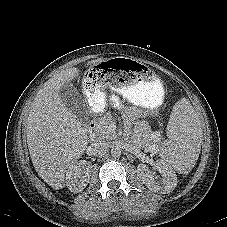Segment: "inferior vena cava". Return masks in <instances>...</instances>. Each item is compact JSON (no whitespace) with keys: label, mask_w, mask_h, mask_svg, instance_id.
Segmentation results:
<instances>
[{"label":"inferior vena cava","mask_w":227,"mask_h":227,"mask_svg":"<svg viewBox=\"0 0 227 227\" xmlns=\"http://www.w3.org/2000/svg\"><path fill=\"white\" fill-rule=\"evenodd\" d=\"M91 147L93 154L96 156H104L109 151V143L103 140L94 142Z\"/></svg>","instance_id":"obj_1"}]
</instances>
